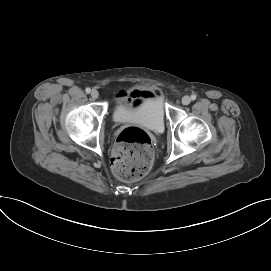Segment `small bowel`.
<instances>
[{"instance_id":"small-bowel-1","label":"small bowel","mask_w":271,"mask_h":271,"mask_svg":"<svg viewBox=\"0 0 271 271\" xmlns=\"http://www.w3.org/2000/svg\"><path fill=\"white\" fill-rule=\"evenodd\" d=\"M155 92L146 90H135L130 95L122 92L119 94L118 99L120 102H129L130 104H136L146 97L153 96Z\"/></svg>"}]
</instances>
